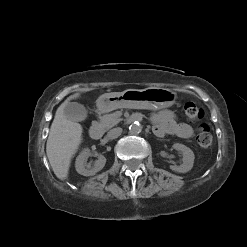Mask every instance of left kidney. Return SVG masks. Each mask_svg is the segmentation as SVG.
Here are the masks:
<instances>
[{"mask_svg":"<svg viewBox=\"0 0 247 247\" xmlns=\"http://www.w3.org/2000/svg\"><path fill=\"white\" fill-rule=\"evenodd\" d=\"M173 148L182 153L183 163L180 166H170V169L178 173H187L192 169L194 164L195 156L193 151L189 147L179 143H175Z\"/></svg>","mask_w":247,"mask_h":247,"instance_id":"1","label":"left kidney"}]
</instances>
